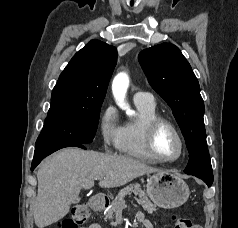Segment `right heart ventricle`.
Segmentation results:
<instances>
[{"mask_svg": "<svg viewBox=\"0 0 238 228\" xmlns=\"http://www.w3.org/2000/svg\"><path fill=\"white\" fill-rule=\"evenodd\" d=\"M138 115L121 126V134L117 149L120 153L151 163L158 162L148 152L145 144L147 124L160 117L155 103L145 104L134 102Z\"/></svg>", "mask_w": 238, "mask_h": 228, "instance_id": "1", "label": "right heart ventricle"}]
</instances>
